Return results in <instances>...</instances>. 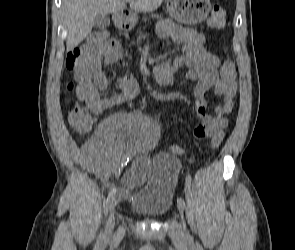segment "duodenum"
<instances>
[{"label":"duodenum","mask_w":295,"mask_h":250,"mask_svg":"<svg viewBox=\"0 0 295 250\" xmlns=\"http://www.w3.org/2000/svg\"><path fill=\"white\" fill-rule=\"evenodd\" d=\"M127 21H128V12L126 10H121L119 13L115 15V22L118 27L121 23H125Z\"/></svg>","instance_id":"duodenum-1"}]
</instances>
